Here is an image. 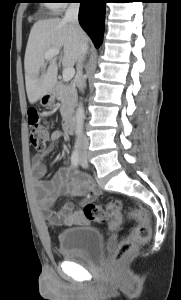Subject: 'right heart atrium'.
<instances>
[{
	"label": "right heart atrium",
	"instance_id": "d8ad5b80",
	"mask_svg": "<svg viewBox=\"0 0 181 300\" xmlns=\"http://www.w3.org/2000/svg\"><path fill=\"white\" fill-rule=\"evenodd\" d=\"M66 1L68 0H54V6L56 7L57 11L62 10L66 6Z\"/></svg>",
	"mask_w": 181,
	"mask_h": 300
}]
</instances>
